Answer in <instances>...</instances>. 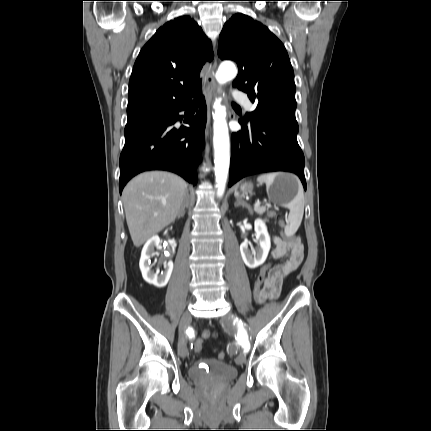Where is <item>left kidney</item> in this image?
<instances>
[{
    "instance_id": "left-kidney-1",
    "label": "left kidney",
    "mask_w": 431,
    "mask_h": 431,
    "mask_svg": "<svg viewBox=\"0 0 431 431\" xmlns=\"http://www.w3.org/2000/svg\"><path fill=\"white\" fill-rule=\"evenodd\" d=\"M255 236H256V248L249 249L248 241H244L240 245V252L245 265L248 268L254 269L262 265L269 253L271 242L267 231L265 222L261 219H257L254 223Z\"/></svg>"
}]
</instances>
